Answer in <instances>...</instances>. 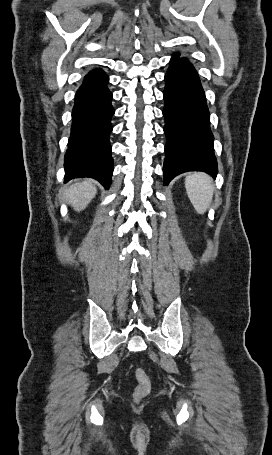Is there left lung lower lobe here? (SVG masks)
<instances>
[{
    "mask_svg": "<svg viewBox=\"0 0 272 455\" xmlns=\"http://www.w3.org/2000/svg\"><path fill=\"white\" fill-rule=\"evenodd\" d=\"M163 116L167 137L164 184L186 171L218 172L206 97L193 65L173 55L165 75Z\"/></svg>",
    "mask_w": 272,
    "mask_h": 455,
    "instance_id": "0a47b994",
    "label": "left lung lower lobe"
}]
</instances>
